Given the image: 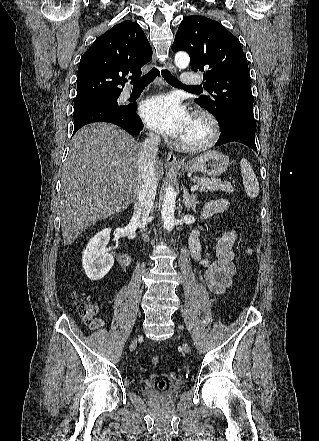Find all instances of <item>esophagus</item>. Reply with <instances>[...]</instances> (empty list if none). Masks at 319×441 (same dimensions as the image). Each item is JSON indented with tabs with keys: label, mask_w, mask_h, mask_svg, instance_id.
Instances as JSON below:
<instances>
[{
	"label": "esophagus",
	"mask_w": 319,
	"mask_h": 441,
	"mask_svg": "<svg viewBox=\"0 0 319 441\" xmlns=\"http://www.w3.org/2000/svg\"><path fill=\"white\" fill-rule=\"evenodd\" d=\"M165 67H166V69H167L168 71H170V72H172V73H175V72H176V67H175V65H174L172 62H170V61H168V62L165 64ZM167 163H168L169 165H178V164H180L179 161H178V159H177V157H176V155H175L172 151H169L168 154H167Z\"/></svg>",
	"instance_id": "esophagus-1"
}]
</instances>
